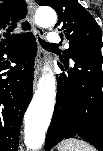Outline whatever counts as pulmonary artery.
I'll use <instances>...</instances> for the list:
<instances>
[{
  "mask_svg": "<svg viewBox=\"0 0 103 151\" xmlns=\"http://www.w3.org/2000/svg\"><path fill=\"white\" fill-rule=\"evenodd\" d=\"M48 40H49L51 43H58V42H60V36H59L56 32H51V33L48 35Z\"/></svg>",
  "mask_w": 103,
  "mask_h": 151,
  "instance_id": "pulmonary-artery-1",
  "label": "pulmonary artery"
}]
</instances>
